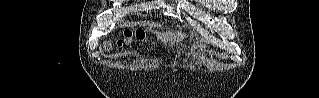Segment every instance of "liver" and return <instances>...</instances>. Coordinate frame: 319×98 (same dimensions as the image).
<instances>
[{"label": "liver", "mask_w": 319, "mask_h": 98, "mask_svg": "<svg viewBox=\"0 0 319 98\" xmlns=\"http://www.w3.org/2000/svg\"><path fill=\"white\" fill-rule=\"evenodd\" d=\"M161 36H162V37H165V36H167V34H161Z\"/></svg>", "instance_id": "1"}]
</instances>
